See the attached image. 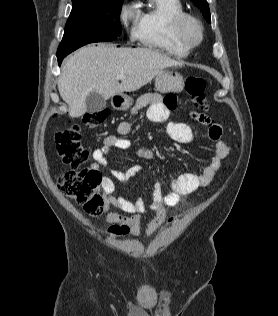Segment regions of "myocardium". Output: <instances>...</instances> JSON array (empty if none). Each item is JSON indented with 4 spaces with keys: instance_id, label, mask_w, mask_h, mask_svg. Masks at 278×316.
Returning a JSON list of instances; mask_svg holds the SVG:
<instances>
[{
    "instance_id": "obj_1",
    "label": "myocardium",
    "mask_w": 278,
    "mask_h": 316,
    "mask_svg": "<svg viewBox=\"0 0 278 316\" xmlns=\"http://www.w3.org/2000/svg\"><path fill=\"white\" fill-rule=\"evenodd\" d=\"M176 29L183 42L191 48L198 46L203 40V25L190 14L186 13L177 19Z\"/></svg>"
}]
</instances>
